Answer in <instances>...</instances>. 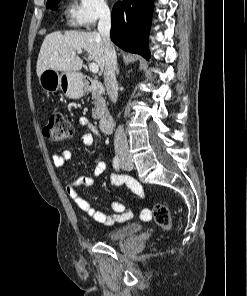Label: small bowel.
I'll return each mask as SVG.
<instances>
[{"instance_id":"c3829d8e","label":"small bowel","mask_w":247,"mask_h":296,"mask_svg":"<svg viewBox=\"0 0 247 296\" xmlns=\"http://www.w3.org/2000/svg\"><path fill=\"white\" fill-rule=\"evenodd\" d=\"M79 123L83 127L84 133L82 135V143L90 148L95 147V136L98 132V128L85 116L79 117ZM71 158V152L69 150H63L60 154H54L52 161L55 167L62 168ZM94 175L99 176L106 170V163L103 161L101 151H97L94 159ZM109 182L113 186H127L133 193L143 195L144 191L142 186L132 177L126 175L111 174L109 176ZM67 195L76 203V205L90 218L97 223L105 226H113L116 223H123L133 218V210L126 208L122 203L118 201H111L110 207L113 210V214H106L92 207L86 200H84L78 194L79 187H91L94 184V179L90 176H80L76 179L69 180L65 178ZM147 209H144L141 213V217L144 219V214H149ZM150 218V217H149ZM147 218V219H149Z\"/></svg>"}]
</instances>
